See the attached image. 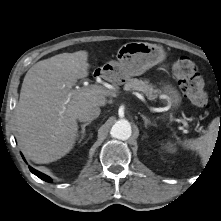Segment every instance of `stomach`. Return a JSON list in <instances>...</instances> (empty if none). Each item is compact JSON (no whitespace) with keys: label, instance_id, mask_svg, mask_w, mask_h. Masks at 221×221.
Here are the masks:
<instances>
[{"label":"stomach","instance_id":"stomach-1","mask_svg":"<svg viewBox=\"0 0 221 221\" xmlns=\"http://www.w3.org/2000/svg\"><path fill=\"white\" fill-rule=\"evenodd\" d=\"M116 57L117 61H110L104 65V71L111 81L122 84L130 77L139 76L163 62L166 53L161 46L155 44L129 42L119 48ZM158 93L165 95V102L173 108H177L181 103L179 92L170 83L162 82Z\"/></svg>","mask_w":221,"mask_h":221}]
</instances>
